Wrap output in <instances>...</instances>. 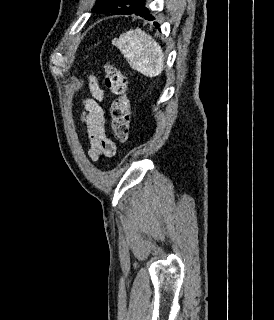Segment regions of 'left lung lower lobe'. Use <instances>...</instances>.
Instances as JSON below:
<instances>
[{
  "mask_svg": "<svg viewBox=\"0 0 274 320\" xmlns=\"http://www.w3.org/2000/svg\"><path fill=\"white\" fill-rule=\"evenodd\" d=\"M111 15L115 14H136L141 17H144L147 20H154L155 18L152 16L150 11L145 7L144 0H137L132 6L126 8L125 10L115 13L111 12ZM154 25L158 27V24L155 22Z\"/></svg>",
  "mask_w": 274,
  "mask_h": 320,
  "instance_id": "0a47b994",
  "label": "left lung lower lobe"
}]
</instances>
